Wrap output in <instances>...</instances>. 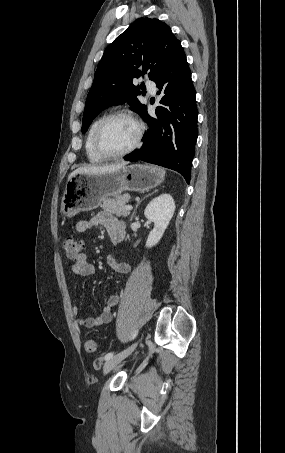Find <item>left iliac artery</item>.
<instances>
[{"instance_id": "1", "label": "left iliac artery", "mask_w": 285, "mask_h": 453, "mask_svg": "<svg viewBox=\"0 0 285 453\" xmlns=\"http://www.w3.org/2000/svg\"><path fill=\"white\" fill-rule=\"evenodd\" d=\"M137 333H138V330H136V331L133 333L131 339H134V338L137 336ZM113 355H114L113 352H109V353H107V354L105 355L104 359H105V360H109L111 357H113Z\"/></svg>"}]
</instances>
